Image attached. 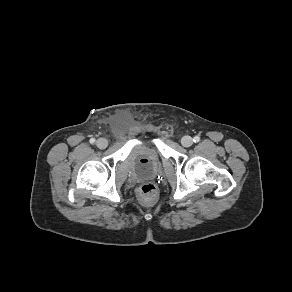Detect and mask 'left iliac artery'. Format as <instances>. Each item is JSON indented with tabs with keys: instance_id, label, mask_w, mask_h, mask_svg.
Segmentation results:
<instances>
[{
	"instance_id": "1",
	"label": "left iliac artery",
	"mask_w": 292,
	"mask_h": 292,
	"mask_svg": "<svg viewBox=\"0 0 292 292\" xmlns=\"http://www.w3.org/2000/svg\"><path fill=\"white\" fill-rule=\"evenodd\" d=\"M193 141H194L195 143L199 142V141H200V137H199V136H195V137L193 138Z\"/></svg>"
}]
</instances>
